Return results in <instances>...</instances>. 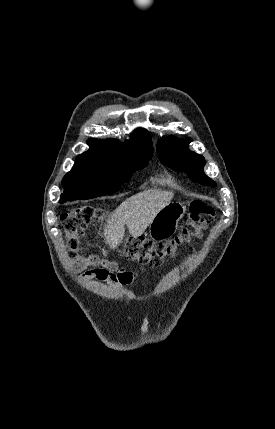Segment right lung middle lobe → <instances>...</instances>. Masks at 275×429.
<instances>
[{
    "label": "right lung middle lobe",
    "instance_id": "dd1d6c3e",
    "mask_svg": "<svg viewBox=\"0 0 275 429\" xmlns=\"http://www.w3.org/2000/svg\"><path fill=\"white\" fill-rule=\"evenodd\" d=\"M151 157L126 155L106 163H76L63 178L60 202L114 193L123 181L130 180V174L148 165Z\"/></svg>",
    "mask_w": 275,
    "mask_h": 429
}]
</instances>
